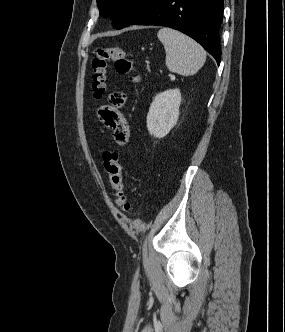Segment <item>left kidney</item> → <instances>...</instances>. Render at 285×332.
Wrapping results in <instances>:
<instances>
[{
  "instance_id": "1",
  "label": "left kidney",
  "mask_w": 285,
  "mask_h": 332,
  "mask_svg": "<svg viewBox=\"0 0 285 332\" xmlns=\"http://www.w3.org/2000/svg\"><path fill=\"white\" fill-rule=\"evenodd\" d=\"M180 103L179 89H169L154 97L147 114V128L152 136L163 138L176 125Z\"/></svg>"
}]
</instances>
